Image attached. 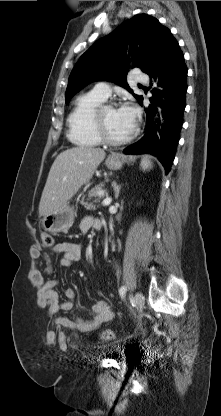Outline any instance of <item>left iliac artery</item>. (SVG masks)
Segmentation results:
<instances>
[{
    "label": "left iliac artery",
    "instance_id": "obj_1",
    "mask_svg": "<svg viewBox=\"0 0 221 416\" xmlns=\"http://www.w3.org/2000/svg\"><path fill=\"white\" fill-rule=\"evenodd\" d=\"M126 291H127L126 286H122V287L119 289V294H120L121 298H123V297L125 296Z\"/></svg>",
    "mask_w": 221,
    "mask_h": 416
}]
</instances>
